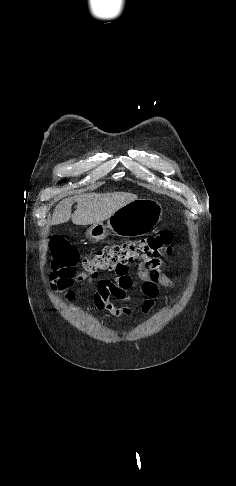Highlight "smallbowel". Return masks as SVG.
<instances>
[{
    "label": "small bowel",
    "mask_w": 236,
    "mask_h": 486,
    "mask_svg": "<svg viewBox=\"0 0 236 486\" xmlns=\"http://www.w3.org/2000/svg\"><path fill=\"white\" fill-rule=\"evenodd\" d=\"M161 262L155 259L142 260L138 265V277L141 280V291L146 296V300L140 305L144 314L150 312L155 304V299L159 294V285L168 287L171 281L162 271ZM135 278L129 272V265L121 270L115 271L113 279H103L99 282L95 292L93 302L98 310H106V317L131 316L137 309V305L124 307L115 306L111 302V297L118 300L131 302L133 296L129 290L135 286Z\"/></svg>",
    "instance_id": "small-bowel-1"
}]
</instances>
